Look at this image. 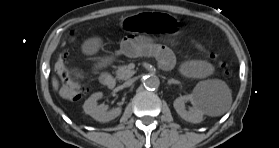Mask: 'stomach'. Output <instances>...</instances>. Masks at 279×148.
<instances>
[{"instance_id":"obj_1","label":"stomach","mask_w":279,"mask_h":148,"mask_svg":"<svg viewBox=\"0 0 279 148\" xmlns=\"http://www.w3.org/2000/svg\"><path fill=\"white\" fill-rule=\"evenodd\" d=\"M124 28L134 35L171 36L181 27L180 19L175 15L133 13L123 21Z\"/></svg>"}]
</instances>
